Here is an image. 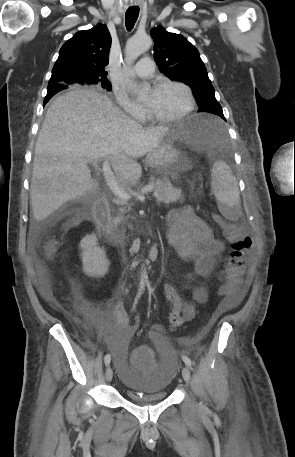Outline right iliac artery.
<instances>
[{
  "instance_id": "right-iliac-artery-1",
  "label": "right iliac artery",
  "mask_w": 295,
  "mask_h": 457,
  "mask_svg": "<svg viewBox=\"0 0 295 457\" xmlns=\"http://www.w3.org/2000/svg\"><path fill=\"white\" fill-rule=\"evenodd\" d=\"M138 298H139V296L136 297L135 302H134V305H133V308H135V305H136V303H137V301H138ZM104 361H105V364H106V365H108V364L110 363V361H111V356H110V354H107V355L105 356Z\"/></svg>"
}]
</instances>
